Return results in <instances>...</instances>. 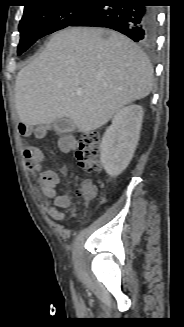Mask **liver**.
<instances>
[{
    "instance_id": "1",
    "label": "liver",
    "mask_w": 184,
    "mask_h": 327,
    "mask_svg": "<svg viewBox=\"0 0 184 327\" xmlns=\"http://www.w3.org/2000/svg\"><path fill=\"white\" fill-rule=\"evenodd\" d=\"M152 88L153 67L129 38L108 29L67 28L18 73L15 106L26 125L69 118L88 133Z\"/></svg>"
}]
</instances>
